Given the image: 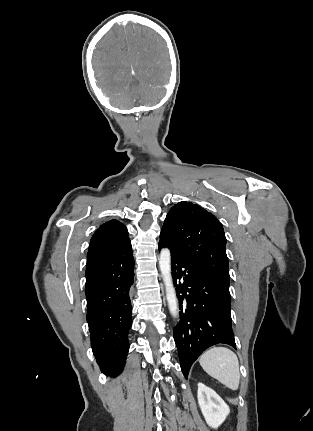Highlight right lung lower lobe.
Segmentation results:
<instances>
[{
    "label": "right lung lower lobe",
    "mask_w": 313,
    "mask_h": 431,
    "mask_svg": "<svg viewBox=\"0 0 313 431\" xmlns=\"http://www.w3.org/2000/svg\"><path fill=\"white\" fill-rule=\"evenodd\" d=\"M134 259L131 242L87 260V322L91 347L101 371L120 374L129 350Z\"/></svg>",
    "instance_id": "right-lung-lower-lobe-1"
}]
</instances>
